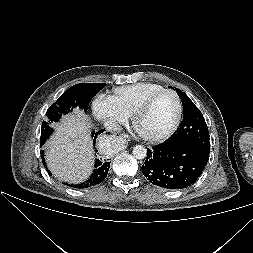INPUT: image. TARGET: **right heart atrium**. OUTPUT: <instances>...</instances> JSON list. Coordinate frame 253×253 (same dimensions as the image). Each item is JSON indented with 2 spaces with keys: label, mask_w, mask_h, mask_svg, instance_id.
<instances>
[{
  "label": "right heart atrium",
  "mask_w": 253,
  "mask_h": 253,
  "mask_svg": "<svg viewBox=\"0 0 253 253\" xmlns=\"http://www.w3.org/2000/svg\"><path fill=\"white\" fill-rule=\"evenodd\" d=\"M92 110L96 119L109 129H116L118 124L127 120V117L120 112L110 96H97L92 103Z\"/></svg>",
  "instance_id": "d8ad5b80"
}]
</instances>
